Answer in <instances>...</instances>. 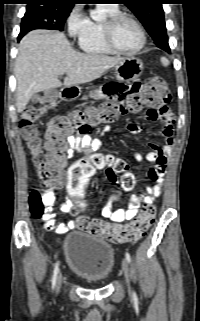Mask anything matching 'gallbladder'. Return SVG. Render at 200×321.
Segmentation results:
<instances>
[{
  "label": "gallbladder",
  "mask_w": 200,
  "mask_h": 321,
  "mask_svg": "<svg viewBox=\"0 0 200 321\" xmlns=\"http://www.w3.org/2000/svg\"><path fill=\"white\" fill-rule=\"evenodd\" d=\"M39 100H40V96L38 94H34L30 99L32 103H37Z\"/></svg>",
  "instance_id": "obj_1"
}]
</instances>
